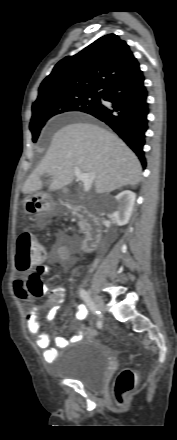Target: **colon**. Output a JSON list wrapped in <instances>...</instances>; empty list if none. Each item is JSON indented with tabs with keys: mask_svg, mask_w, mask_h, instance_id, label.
<instances>
[{
	"mask_svg": "<svg viewBox=\"0 0 177 440\" xmlns=\"http://www.w3.org/2000/svg\"><path fill=\"white\" fill-rule=\"evenodd\" d=\"M46 257L45 248L36 242L33 234L23 233L17 240L16 268L19 271H28L37 268L39 274L44 270L43 262ZM39 274H33L29 281V289L35 296L45 292V286ZM135 385V374L132 369L125 368L117 376L114 385V394L119 404H124L126 395Z\"/></svg>",
	"mask_w": 177,
	"mask_h": 440,
	"instance_id": "5ec220e1",
	"label": "colon"
}]
</instances>
